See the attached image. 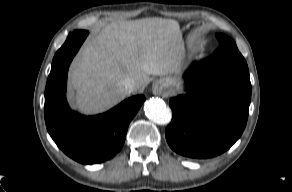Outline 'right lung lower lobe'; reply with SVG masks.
Segmentation results:
<instances>
[{"instance_id":"right-lung-lower-lobe-1","label":"right lung lower lobe","mask_w":292,"mask_h":192,"mask_svg":"<svg viewBox=\"0 0 292 192\" xmlns=\"http://www.w3.org/2000/svg\"><path fill=\"white\" fill-rule=\"evenodd\" d=\"M87 35L85 30H75L55 54L45 89L44 115L50 136L65 154L80 163L94 164L106 161L120 151L128 125L145 98L137 95L106 113L89 117L69 108L67 72Z\"/></svg>"}]
</instances>
